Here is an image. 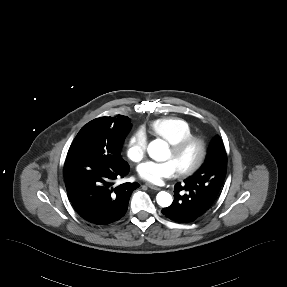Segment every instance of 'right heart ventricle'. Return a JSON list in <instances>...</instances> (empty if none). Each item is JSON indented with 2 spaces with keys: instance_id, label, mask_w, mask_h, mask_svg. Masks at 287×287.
<instances>
[{
  "instance_id": "e07e8e85",
  "label": "right heart ventricle",
  "mask_w": 287,
  "mask_h": 287,
  "mask_svg": "<svg viewBox=\"0 0 287 287\" xmlns=\"http://www.w3.org/2000/svg\"><path fill=\"white\" fill-rule=\"evenodd\" d=\"M149 130L153 135L163 139L169 145L176 144L194 135L191 124L186 119L175 116L151 121L149 123Z\"/></svg>"
}]
</instances>
